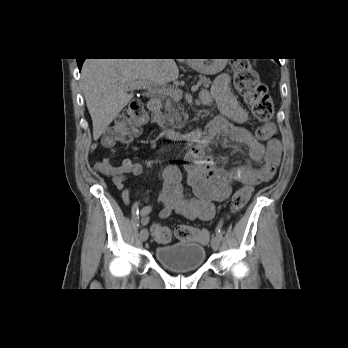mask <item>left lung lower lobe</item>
Here are the masks:
<instances>
[{
	"instance_id": "1",
	"label": "left lung lower lobe",
	"mask_w": 348,
	"mask_h": 348,
	"mask_svg": "<svg viewBox=\"0 0 348 348\" xmlns=\"http://www.w3.org/2000/svg\"><path fill=\"white\" fill-rule=\"evenodd\" d=\"M276 60V59H275ZM277 63H279V60H276ZM280 64V63H279Z\"/></svg>"
}]
</instances>
